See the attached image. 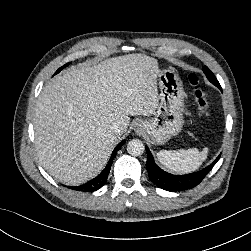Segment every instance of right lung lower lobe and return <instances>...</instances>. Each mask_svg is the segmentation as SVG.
Instances as JSON below:
<instances>
[{
  "mask_svg": "<svg viewBox=\"0 0 251 251\" xmlns=\"http://www.w3.org/2000/svg\"><path fill=\"white\" fill-rule=\"evenodd\" d=\"M125 143V141H121L114 149V151L112 152V155L110 157V160L108 162V164L106 165L105 169L94 179L86 182L85 184H82L80 186H75L72 187L70 186L69 188L73 189V190H78V191H82V192H93L98 190L99 188H101L103 185H105L110 169H111V165L113 162V159L115 158L117 151L119 150V148Z\"/></svg>",
  "mask_w": 251,
  "mask_h": 251,
  "instance_id": "obj_1",
  "label": "right lung lower lobe"
}]
</instances>
